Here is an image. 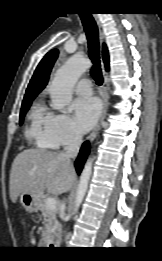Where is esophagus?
I'll return each instance as SVG.
<instances>
[{
  "label": "esophagus",
  "mask_w": 162,
  "mask_h": 261,
  "mask_svg": "<svg viewBox=\"0 0 162 261\" xmlns=\"http://www.w3.org/2000/svg\"><path fill=\"white\" fill-rule=\"evenodd\" d=\"M94 19H95L97 27H98L100 45L102 46L103 42L105 41L103 27H102V24H101L100 20L98 19L97 15H94ZM101 65H102V74H103V79H104L103 85L100 90V96L102 98V109H101L100 118H99L97 124L95 125L93 131L91 132V134L88 137V141H90V142H92L98 134V131L100 129V124H101L102 120L104 119V116L106 113L107 102H108V94H107L108 76H107V72L105 70V65H104L103 61H101Z\"/></svg>",
  "instance_id": "1"
}]
</instances>
